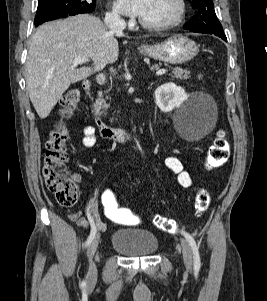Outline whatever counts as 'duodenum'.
<instances>
[{
	"mask_svg": "<svg viewBox=\"0 0 267 301\" xmlns=\"http://www.w3.org/2000/svg\"><path fill=\"white\" fill-rule=\"evenodd\" d=\"M82 88L84 93L89 96L92 89V84L89 80H85L82 83ZM88 109L93 116V119L96 122V125L99 129L100 135L104 138L115 139V140H130L133 137V132L128 129L113 127L107 125L103 122L97 114V111L94 107V103L91 99L88 100Z\"/></svg>",
	"mask_w": 267,
	"mask_h": 301,
	"instance_id": "410a0bca",
	"label": "duodenum"
}]
</instances>
